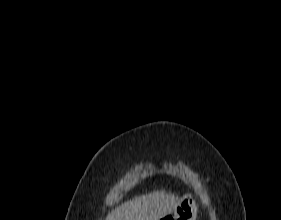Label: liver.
<instances>
[{
	"instance_id": "liver-1",
	"label": "liver",
	"mask_w": 281,
	"mask_h": 220,
	"mask_svg": "<svg viewBox=\"0 0 281 220\" xmlns=\"http://www.w3.org/2000/svg\"><path fill=\"white\" fill-rule=\"evenodd\" d=\"M179 201V197L171 192L153 191L115 208L106 220H160L171 214Z\"/></svg>"
}]
</instances>
